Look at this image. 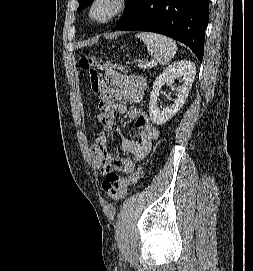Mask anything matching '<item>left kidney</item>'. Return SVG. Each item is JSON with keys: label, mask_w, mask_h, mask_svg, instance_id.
<instances>
[{"label": "left kidney", "mask_w": 253, "mask_h": 271, "mask_svg": "<svg viewBox=\"0 0 253 271\" xmlns=\"http://www.w3.org/2000/svg\"><path fill=\"white\" fill-rule=\"evenodd\" d=\"M196 75L195 64L191 61L181 60L169 65L154 81L153 90L150 95L149 115L151 121L156 125L165 124L171 119L183 106L188 92L193 84ZM177 77H183L181 85L174 87L173 83ZM172 86L173 90L178 92L177 98L169 106L160 109L157 106V100L163 85Z\"/></svg>", "instance_id": "5707ae66"}]
</instances>
